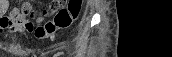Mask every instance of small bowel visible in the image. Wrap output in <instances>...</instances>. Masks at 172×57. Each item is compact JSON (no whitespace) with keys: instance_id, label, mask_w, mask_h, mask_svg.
<instances>
[{"instance_id":"small-bowel-1","label":"small bowel","mask_w":172,"mask_h":57,"mask_svg":"<svg viewBox=\"0 0 172 57\" xmlns=\"http://www.w3.org/2000/svg\"><path fill=\"white\" fill-rule=\"evenodd\" d=\"M28 5L32 9V3L16 2L13 5L7 0H0V35L3 33L16 34V33H29L34 32L37 38H43L45 33V26L35 27L32 23V19L37 16L35 13L33 16H27L22 14V8ZM33 10V9H32ZM52 13V10H42L38 17L37 22L42 21Z\"/></svg>"}]
</instances>
